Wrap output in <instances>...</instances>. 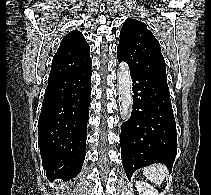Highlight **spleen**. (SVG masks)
Here are the masks:
<instances>
[{"mask_svg": "<svg viewBox=\"0 0 211 195\" xmlns=\"http://www.w3.org/2000/svg\"><path fill=\"white\" fill-rule=\"evenodd\" d=\"M143 174L152 182L161 184L168 176V168L162 164H154L144 168Z\"/></svg>", "mask_w": 211, "mask_h": 195, "instance_id": "3e777b00", "label": "spleen"}]
</instances>
